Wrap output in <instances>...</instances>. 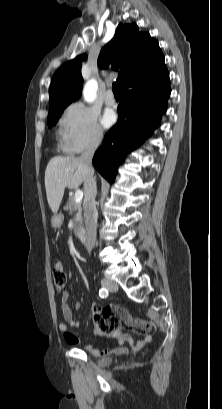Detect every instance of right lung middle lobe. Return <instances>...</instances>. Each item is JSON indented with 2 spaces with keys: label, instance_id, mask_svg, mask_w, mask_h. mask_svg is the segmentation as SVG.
<instances>
[{
  "label": "right lung middle lobe",
  "instance_id": "obj_1",
  "mask_svg": "<svg viewBox=\"0 0 222 409\" xmlns=\"http://www.w3.org/2000/svg\"><path fill=\"white\" fill-rule=\"evenodd\" d=\"M65 108H66V107H62V108H58V109H54V110H50V111H49V115H48V126H49L50 128L57 123L59 117L61 116V114H62V112H63V110H64Z\"/></svg>",
  "mask_w": 222,
  "mask_h": 409
}]
</instances>
